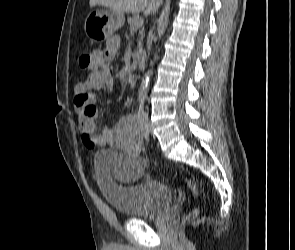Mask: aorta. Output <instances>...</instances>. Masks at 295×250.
I'll return each instance as SVG.
<instances>
[{"mask_svg":"<svg viewBox=\"0 0 295 250\" xmlns=\"http://www.w3.org/2000/svg\"><path fill=\"white\" fill-rule=\"evenodd\" d=\"M152 75V70H148L145 74L144 78L142 79L139 91H138V101L140 105H143L146 97H147V91L149 88L150 78Z\"/></svg>","mask_w":295,"mask_h":250,"instance_id":"1","label":"aorta"}]
</instances>
